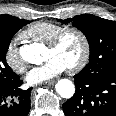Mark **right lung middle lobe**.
Wrapping results in <instances>:
<instances>
[{"label": "right lung middle lobe", "mask_w": 116, "mask_h": 116, "mask_svg": "<svg viewBox=\"0 0 116 116\" xmlns=\"http://www.w3.org/2000/svg\"><path fill=\"white\" fill-rule=\"evenodd\" d=\"M30 23L21 20L17 23L0 22V86L13 83L19 76L12 71L6 62V52L13 35L23 26Z\"/></svg>", "instance_id": "1"}]
</instances>
